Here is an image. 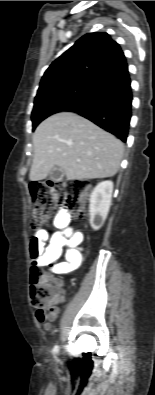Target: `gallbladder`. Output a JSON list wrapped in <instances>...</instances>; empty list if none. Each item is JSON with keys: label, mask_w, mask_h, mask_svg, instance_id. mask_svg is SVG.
Instances as JSON below:
<instances>
[{"label": "gallbladder", "mask_w": 155, "mask_h": 395, "mask_svg": "<svg viewBox=\"0 0 155 395\" xmlns=\"http://www.w3.org/2000/svg\"><path fill=\"white\" fill-rule=\"evenodd\" d=\"M63 178H64V172L58 166H55L49 173V179L53 182H60L63 180Z\"/></svg>", "instance_id": "obj_1"}]
</instances>
